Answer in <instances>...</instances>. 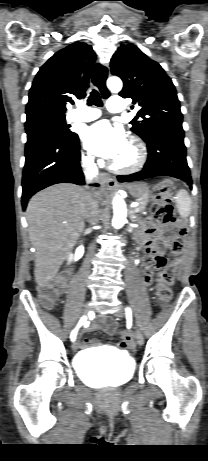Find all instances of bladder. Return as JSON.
Listing matches in <instances>:
<instances>
[{"mask_svg":"<svg viewBox=\"0 0 208 461\" xmlns=\"http://www.w3.org/2000/svg\"><path fill=\"white\" fill-rule=\"evenodd\" d=\"M74 367L77 375L91 386L119 387L132 378L134 361L122 353L84 352Z\"/></svg>","mask_w":208,"mask_h":461,"instance_id":"bladder-1","label":"bladder"}]
</instances>
